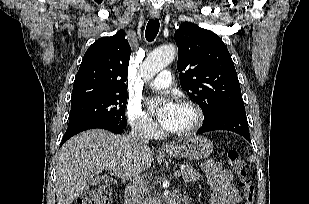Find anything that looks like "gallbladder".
<instances>
[{
  "mask_svg": "<svg viewBox=\"0 0 309 204\" xmlns=\"http://www.w3.org/2000/svg\"><path fill=\"white\" fill-rule=\"evenodd\" d=\"M101 180H104V181H108L109 179L106 178V177H96L94 179H91L89 180V184L91 185H96L98 182H100Z\"/></svg>",
  "mask_w": 309,
  "mask_h": 204,
  "instance_id": "bac80fb5",
  "label": "gallbladder"
}]
</instances>
